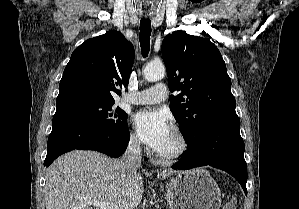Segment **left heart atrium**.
<instances>
[{
	"label": "left heart atrium",
	"instance_id": "39dd6f15",
	"mask_svg": "<svg viewBox=\"0 0 299 209\" xmlns=\"http://www.w3.org/2000/svg\"><path fill=\"white\" fill-rule=\"evenodd\" d=\"M133 125L139 138L153 150H157L171 133L167 114L160 109H146L133 116Z\"/></svg>",
	"mask_w": 299,
	"mask_h": 209
}]
</instances>
